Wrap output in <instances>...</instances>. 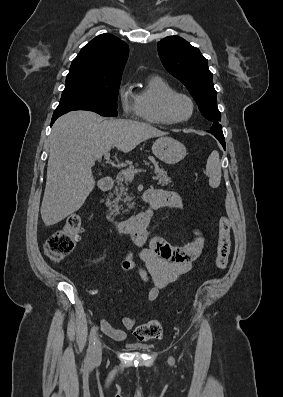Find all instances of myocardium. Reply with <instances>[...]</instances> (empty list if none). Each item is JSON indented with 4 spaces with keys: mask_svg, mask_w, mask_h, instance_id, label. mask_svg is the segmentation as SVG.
<instances>
[{
    "mask_svg": "<svg viewBox=\"0 0 283 397\" xmlns=\"http://www.w3.org/2000/svg\"><path fill=\"white\" fill-rule=\"evenodd\" d=\"M176 98L185 99L190 105L189 114L183 118H175V117H173V115L171 113V104H172L173 100H175ZM160 112H161V116H162L163 120L167 124L184 123L192 118V116L195 112V103H194L193 99L186 93L175 91V92H172L165 96V98L163 99V101L161 103Z\"/></svg>",
    "mask_w": 283,
    "mask_h": 397,
    "instance_id": "obj_1",
    "label": "myocardium"
}]
</instances>
